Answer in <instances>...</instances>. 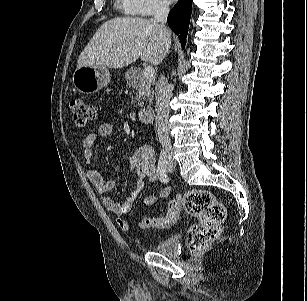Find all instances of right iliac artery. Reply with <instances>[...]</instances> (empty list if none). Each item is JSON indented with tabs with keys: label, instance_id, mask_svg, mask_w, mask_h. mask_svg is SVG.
<instances>
[{
	"label": "right iliac artery",
	"instance_id": "1",
	"mask_svg": "<svg viewBox=\"0 0 307 301\" xmlns=\"http://www.w3.org/2000/svg\"><path fill=\"white\" fill-rule=\"evenodd\" d=\"M166 165H167V152L165 150H162L158 161L157 171L159 173V179L163 183H168L169 181L166 171Z\"/></svg>",
	"mask_w": 307,
	"mask_h": 301
}]
</instances>
